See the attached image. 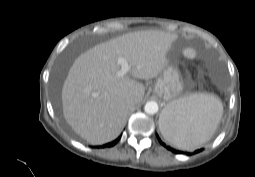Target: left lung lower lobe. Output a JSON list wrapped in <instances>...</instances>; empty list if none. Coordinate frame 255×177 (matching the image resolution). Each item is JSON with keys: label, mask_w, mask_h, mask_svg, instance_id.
Segmentation results:
<instances>
[{"label": "left lung lower lobe", "mask_w": 255, "mask_h": 177, "mask_svg": "<svg viewBox=\"0 0 255 177\" xmlns=\"http://www.w3.org/2000/svg\"><path fill=\"white\" fill-rule=\"evenodd\" d=\"M158 140H159V142H160L165 148H167L168 150H170L171 152H173V153H175V154H186V155L190 156V155H192V154L199 153V152H201V151L203 150V149H198V150H196V151L193 152V153H190V152H183V151L174 149V148H172V147L166 145L164 142H162V141L160 140V138H158Z\"/></svg>", "instance_id": "left-lung-lower-lobe-1"}]
</instances>
